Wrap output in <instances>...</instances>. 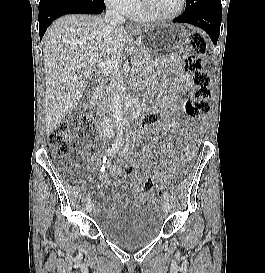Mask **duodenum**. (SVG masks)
<instances>
[{
  "instance_id": "obj_1",
  "label": "duodenum",
  "mask_w": 265,
  "mask_h": 273,
  "mask_svg": "<svg viewBox=\"0 0 265 273\" xmlns=\"http://www.w3.org/2000/svg\"><path fill=\"white\" fill-rule=\"evenodd\" d=\"M98 95H96V96H94V98H93V102H97L98 101Z\"/></svg>"
}]
</instances>
